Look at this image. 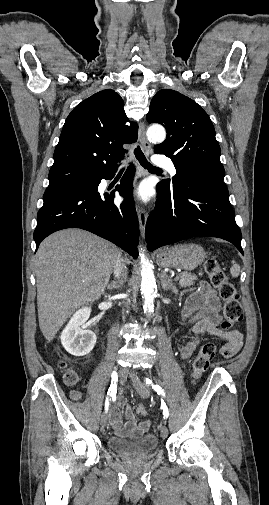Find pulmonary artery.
<instances>
[{
	"instance_id": "1",
	"label": "pulmonary artery",
	"mask_w": 269,
	"mask_h": 505,
	"mask_svg": "<svg viewBox=\"0 0 269 505\" xmlns=\"http://www.w3.org/2000/svg\"><path fill=\"white\" fill-rule=\"evenodd\" d=\"M154 163L156 166L166 169L172 176L177 173L173 162L168 158L154 157Z\"/></svg>"
}]
</instances>
